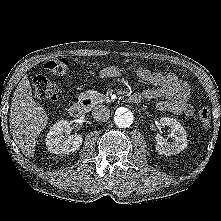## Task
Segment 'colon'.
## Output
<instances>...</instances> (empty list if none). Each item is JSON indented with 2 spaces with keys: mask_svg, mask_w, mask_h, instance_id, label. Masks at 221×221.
<instances>
[{
  "mask_svg": "<svg viewBox=\"0 0 221 221\" xmlns=\"http://www.w3.org/2000/svg\"><path fill=\"white\" fill-rule=\"evenodd\" d=\"M68 65V59L61 57L46 61L44 68L55 75L63 76L68 70ZM33 88L35 96L39 99L57 100L61 95V90L58 85L44 75H37L34 77ZM197 116L201 128L207 130L211 124V113L209 108H199Z\"/></svg>",
  "mask_w": 221,
  "mask_h": 221,
  "instance_id": "5ec220e1",
  "label": "colon"
}]
</instances>
